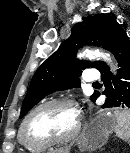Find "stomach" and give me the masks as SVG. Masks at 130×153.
<instances>
[{"instance_id": "0dacf381", "label": "stomach", "mask_w": 130, "mask_h": 153, "mask_svg": "<svg viewBox=\"0 0 130 153\" xmlns=\"http://www.w3.org/2000/svg\"><path fill=\"white\" fill-rule=\"evenodd\" d=\"M117 121L113 111L99 112L85 126L79 147L93 151L102 147L109 135L115 130Z\"/></svg>"}]
</instances>
